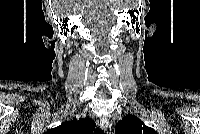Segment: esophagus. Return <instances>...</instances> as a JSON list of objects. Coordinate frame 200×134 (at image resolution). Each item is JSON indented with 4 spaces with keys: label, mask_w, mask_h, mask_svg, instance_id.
I'll return each mask as SVG.
<instances>
[{
    "label": "esophagus",
    "mask_w": 200,
    "mask_h": 134,
    "mask_svg": "<svg viewBox=\"0 0 200 134\" xmlns=\"http://www.w3.org/2000/svg\"><path fill=\"white\" fill-rule=\"evenodd\" d=\"M100 128L103 129V130H107V128L109 127V119L108 117H102L100 119Z\"/></svg>",
    "instance_id": "1"
}]
</instances>
